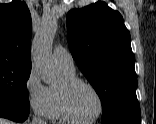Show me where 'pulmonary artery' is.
Returning a JSON list of instances; mask_svg holds the SVG:
<instances>
[{
  "label": "pulmonary artery",
  "instance_id": "e3ab8cb5",
  "mask_svg": "<svg viewBox=\"0 0 156 124\" xmlns=\"http://www.w3.org/2000/svg\"><path fill=\"white\" fill-rule=\"evenodd\" d=\"M53 58L60 67L71 71L75 70L74 59L64 47L56 46L53 51Z\"/></svg>",
  "mask_w": 156,
  "mask_h": 124
}]
</instances>
